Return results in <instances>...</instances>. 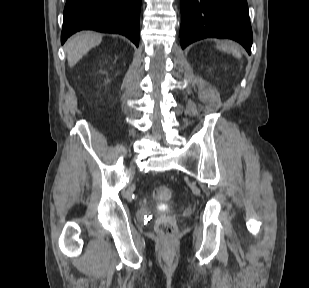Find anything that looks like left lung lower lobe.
<instances>
[{
  "instance_id": "obj_1",
  "label": "left lung lower lobe",
  "mask_w": 309,
  "mask_h": 288,
  "mask_svg": "<svg viewBox=\"0 0 309 288\" xmlns=\"http://www.w3.org/2000/svg\"><path fill=\"white\" fill-rule=\"evenodd\" d=\"M180 4L183 49L207 37L230 38L251 54L253 37L246 0H180Z\"/></svg>"
}]
</instances>
